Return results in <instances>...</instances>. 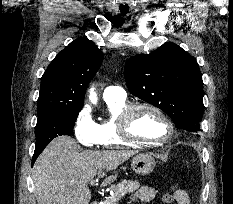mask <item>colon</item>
<instances>
[{
	"mask_svg": "<svg viewBox=\"0 0 233 204\" xmlns=\"http://www.w3.org/2000/svg\"><path fill=\"white\" fill-rule=\"evenodd\" d=\"M180 189L174 188L171 192L165 194V199H174Z\"/></svg>",
	"mask_w": 233,
	"mask_h": 204,
	"instance_id": "colon-1",
	"label": "colon"
}]
</instances>
